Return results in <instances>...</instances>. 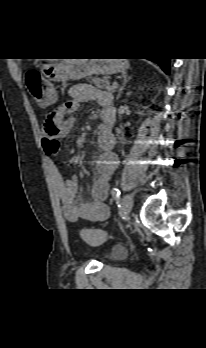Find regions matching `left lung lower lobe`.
I'll use <instances>...</instances> for the list:
<instances>
[{"instance_id":"left-lung-lower-lobe-1","label":"left lung lower lobe","mask_w":206,"mask_h":348,"mask_svg":"<svg viewBox=\"0 0 206 348\" xmlns=\"http://www.w3.org/2000/svg\"><path fill=\"white\" fill-rule=\"evenodd\" d=\"M152 61L158 63L162 70L169 74V64H170V58H158V59H151Z\"/></svg>"}]
</instances>
